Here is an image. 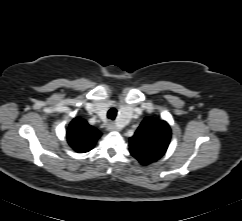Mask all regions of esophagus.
I'll return each mask as SVG.
<instances>
[{
	"label": "esophagus",
	"mask_w": 242,
	"mask_h": 221,
	"mask_svg": "<svg viewBox=\"0 0 242 221\" xmlns=\"http://www.w3.org/2000/svg\"><path fill=\"white\" fill-rule=\"evenodd\" d=\"M107 129H108L109 131H114V130L117 129V127H116V125H115L114 122H109V123L107 124Z\"/></svg>",
	"instance_id": "1"
}]
</instances>
